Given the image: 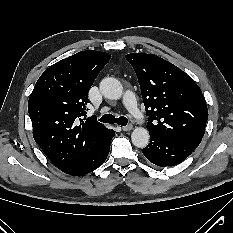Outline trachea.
<instances>
[{
	"mask_svg": "<svg viewBox=\"0 0 233 233\" xmlns=\"http://www.w3.org/2000/svg\"><path fill=\"white\" fill-rule=\"evenodd\" d=\"M99 121L104 122V123H109V124L117 123L118 125H121V126H126L128 123V119L126 117L121 116V117L116 118L112 114L103 115L99 119Z\"/></svg>",
	"mask_w": 233,
	"mask_h": 233,
	"instance_id": "3493384b",
	"label": "trachea"
}]
</instances>
